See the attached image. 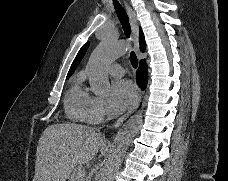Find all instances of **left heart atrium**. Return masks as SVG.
Here are the masks:
<instances>
[{
    "label": "left heart atrium",
    "mask_w": 228,
    "mask_h": 181,
    "mask_svg": "<svg viewBox=\"0 0 228 181\" xmlns=\"http://www.w3.org/2000/svg\"><path fill=\"white\" fill-rule=\"evenodd\" d=\"M135 90L131 81L120 79L113 83L111 92V108L114 111L123 110L134 97Z\"/></svg>",
    "instance_id": "obj_1"
}]
</instances>
